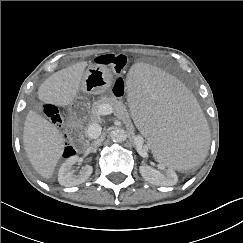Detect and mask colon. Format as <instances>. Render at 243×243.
<instances>
[{"instance_id":"colon-1","label":"colon","mask_w":243,"mask_h":243,"mask_svg":"<svg viewBox=\"0 0 243 243\" xmlns=\"http://www.w3.org/2000/svg\"><path fill=\"white\" fill-rule=\"evenodd\" d=\"M128 58L124 54H104L96 58L95 62L97 65L102 67L111 68L116 74H120L126 64ZM113 93L117 97H122L125 93L124 81L122 78L118 77L113 86ZM43 112L46 116L57 126L62 125V116L59 109L53 104H45L43 107ZM78 148V142L76 138L70 135L66 136L65 144L62 149V156L64 158H69L76 153Z\"/></svg>"}]
</instances>
